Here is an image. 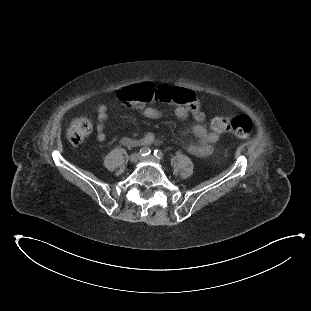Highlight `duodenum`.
Masks as SVG:
<instances>
[{
  "mask_svg": "<svg viewBox=\"0 0 311 311\" xmlns=\"http://www.w3.org/2000/svg\"><path fill=\"white\" fill-rule=\"evenodd\" d=\"M133 142L135 143L134 145H137V144H143V142H142V141H140V140H133Z\"/></svg>",
  "mask_w": 311,
  "mask_h": 311,
  "instance_id": "410a0bca",
  "label": "duodenum"
}]
</instances>
